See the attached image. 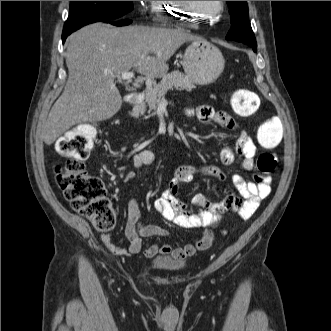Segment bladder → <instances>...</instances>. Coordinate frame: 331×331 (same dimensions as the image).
<instances>
[{"label": "bladder", "instance_id": "bladder-1", "mask_svg": "<svg viewBox=\"0 0 331 331\" xmlns=\"http://www.w3.org/2000/svg\"><path fill=\"white\" fill-rule=\"evenodd\" d=\"M151 264L158 270L170 272L179 271L185 267V261L170 256H157Z\"/></svg>", "mask_w": 331, "mask_h": 331}]
</instances>
